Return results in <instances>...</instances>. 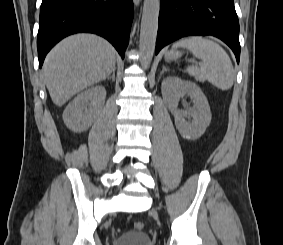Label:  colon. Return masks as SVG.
Segmentation results:
<instances>
[{
  "label": "colon",
  "instance_id": "colon-1",
  "mask_svg": "<svg viewBox=\"0 0 283 245\" xmlns=\"http://www.w3.org/2000/svg\"><path fill=\"white\" fill-rule=\"evenodd\" d=\"M134 228H135L136 230H138V231H141V230H143V228H144V223L141 222V221H136V222L134 223Z\"/></svg>",
  "mask_w": 283,
  "mask_h": 245
}]
</instances>
